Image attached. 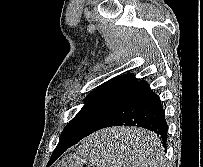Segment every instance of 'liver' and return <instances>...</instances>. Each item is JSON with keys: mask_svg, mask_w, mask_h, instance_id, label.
I'll list each match as a JSON object with an SVG mask.
<instances>
[{"mask_svg": "<svg viewBox=\"0 0 203 167\" xmlns=\"http://www.w3.org/2000/svg\"><path fill=\"white\" fill-rule=\"evenodd\" d=\"M147 133L138 128L121 127L104 130L101 135L112 140L111 152L115 160L127 163V167H139L143 165L139 162L138 145Z\"/></svg>", "mask_w": 203, "mask_h": 167, "instance_id": "1", "label": "liver"}]
</instances>
